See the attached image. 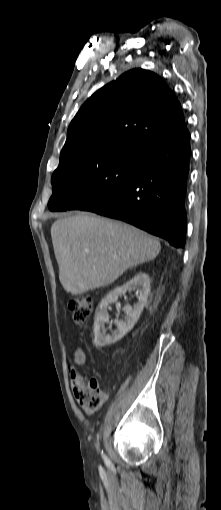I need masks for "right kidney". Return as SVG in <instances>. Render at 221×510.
<instances>
[{"mask_svg":"<svg viewBox=\"0 0 221 510\" xmlns=\"http://www.w3.org/2000/svg\"><path fill=\"white\" fill-rule=\"evenodd\" d=\"M137 289L138 302L132 308L130 305L124 307L126 317L122 321H116L117 329L111 335H106L104 324L109 321L108 307L118 300L119 295L128 290ZM150 293L149 276L145 273H138L130 281L121 287L112 290L99 304L94 321V345L98 348L111 345L122 339L136 324L140 314L147 302Z\"/></svg>","mask_w":221,"mask_h":510,"instance_id":"obj_1","label":"right kidney"}]
</instances>
